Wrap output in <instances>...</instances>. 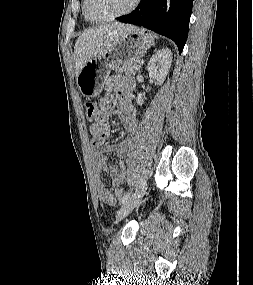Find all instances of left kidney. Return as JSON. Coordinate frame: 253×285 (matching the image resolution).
<instances>
[{"label":"left kidney","instance_id":"5707ae66","mask_svg":"<svg viewBox=\"0 0 253 285\" xmlns=\"http://www.w3.org/2000/svg\"><path fill=\"white\" fill-rule=\"evenodd\" d=\"M172 63V52L170 49H160L158 50L150 59L147 64V70L149 76L156 79L157 84L161 85L166 76L169 73V69ZM136 103L138 105H143L144 97L141 93L137 95Z\"/></svg>","mask_w":253,"mask_h":285}]
</instances>
